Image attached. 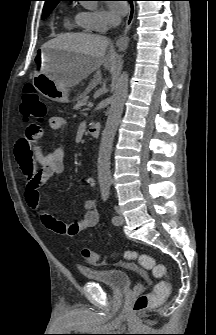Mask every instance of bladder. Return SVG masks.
Wrapping results in <instances>:
<instances>
[{
  "label": "bladder",
  "instance_id": "31cf9c89",
  "mask_svg": "<svg viewBox=\"0 0 216 335\" xmlns=\"http://www.w3.org/2000/svg\"><path fill=\"white\" fill-rule=\"evenodd\" d=\"M79 272L88 280L95 281L109 287L114 291H126L131 288V274L127 271L106 268V269H85L80 268Z\"/></svg>",
  "mask_w": 216,
  "mask_h": 335
}]
</instances>
